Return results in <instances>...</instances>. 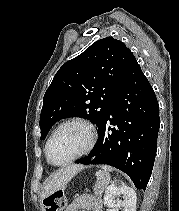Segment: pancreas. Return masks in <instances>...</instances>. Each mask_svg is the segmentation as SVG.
<instances>
[{"label": "pancreas", "mask_w": 179, "mask_h": 211, "mask_svg": "<svg viewBox=\"0 0 179 211\" xmlns=\"http://www.w3.org/2000/svg\"><path fill=\"white\" fill-rule=\"evenodd\" d=\"M107 185V181L98 179L94 187V194L96 197L100 198Z\"/></svg>", "instance_id": "1"}]
</instances>
